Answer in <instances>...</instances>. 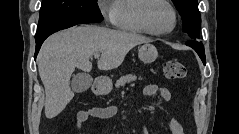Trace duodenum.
Listing matches in <instances>:
<instances>
[{"instance_id":"obj_1","label":"duodenum","mask_w":239,"mask_h":134,"mask_svg":"<svg viewBox=\"0 0 239 134\" xmlns=\"http://www.w3.org/2000/svg\"><path fill=\"white\" fill-rule=\"evenodd\" d=\"M105 88V81L102 77H96L94 82V92L95 94H101Z\"/></svg>"}]
</instances>
